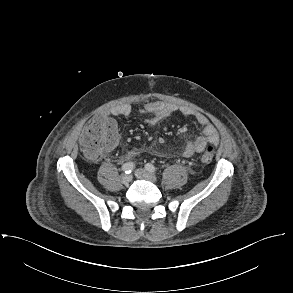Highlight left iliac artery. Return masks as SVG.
<instances>
[{
	"mask_svg": "<svg viewBox=\"0 0 293 293\" xmlns=\"http://www.w3.org/2000/svg\"><path fill=\"white\" fill-rule=\"evenodd\" d=\"M145 169H146L147 171H149V172H152V173L157 172V168H156L153 164H151V163H147V164L145 165Z\"/></svg>",
	"mask_w": 293,
	"mask_h": 293,
	"instance_id": "obj_1",
	"label": "left iliac artery"
}]
</instances>
